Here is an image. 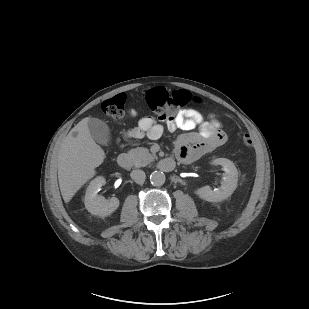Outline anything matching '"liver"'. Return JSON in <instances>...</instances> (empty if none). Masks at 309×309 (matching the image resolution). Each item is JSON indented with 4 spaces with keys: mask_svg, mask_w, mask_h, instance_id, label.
Masks as SVG:
<instances>
[{
    "mask_svg": "<svg viewBox=\"0 0 309 309\" xmlns=\"http://www.w3.org/2000/svg\"><path fill=\"white\" fill-rule=\"evenodd\" d=\"M88 121V117L82 119L68 133L58 152V181L65 203H68L75 193L95 176V169L105 159L104 150L91 136Z\"/></svg>",
    "mask_w": 309,
    "mask_h": 309,
    "instance_id": "1",
    "label": "liver"
}]
</instances>
